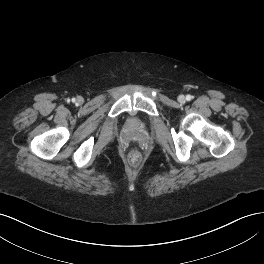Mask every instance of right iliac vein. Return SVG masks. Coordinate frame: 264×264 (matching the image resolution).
Listing matches in <instances>:
<instances>
[{"mask_svg": "<svg viewBox=\"0 0 264 264\" xmlns=\"http://www.w3.org/2000/svg\"><path fill=\"white\" fill-rule=\"evenodd\" d=\"M82 101H83V99H82L81 97H78V98H77V102H78V103H81Z\"/></svg>", "mask_w": 264, "mask_h": 264, "instance_id": "right-iliac-vein-1", "label": "right iliac vein"}]
</instances>
